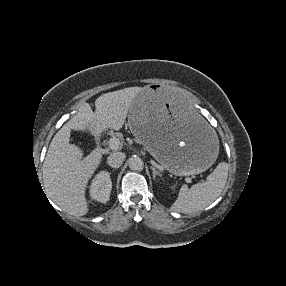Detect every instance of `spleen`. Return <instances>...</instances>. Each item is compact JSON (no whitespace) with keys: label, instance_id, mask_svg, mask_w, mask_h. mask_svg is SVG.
<instances>
[{"label":"spleen","instance_id":"spleen-1","mask_svg":"<svg viewBox=\"0 0 286 286\" xmlns=\"http://www.w3.org/2000/svg\"><path fill=\"white\" fill-rule=\"evenodd\" d=\"M228 170L229 165L226 162H221L206 181L192 185L190 188L186 184L182 185L171 209L180 213H193L210 205L223 191Z\"/></svg>","mask_w":286,"mask_h":286}]
</instances>
